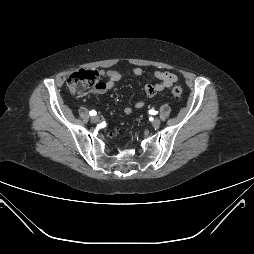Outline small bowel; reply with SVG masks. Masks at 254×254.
<instances>
[{
    "label": "small bowel",
    "mask_w": 254,
    "mask_h": 254,
    "mask_svg": "<svg viewBox=\"0 0 254 254\" xmlns=\"http://www.w3.org/2000/svg\"><path fill=\"white\" fill-rule=\"evenodd\" d=\"M134 76H141L143 74V69L140 67H135L129 71ZM99 75L104 79L100 81V85L93 89V92L96 94H103L108 90L112 89L117 82H119L123 76L124 72L120 70H101ZM154 77L159 80L157 84H146L144 86V92L148 97H154L156 94L164 91L165 89L171 87L177 82V76L171 72L167 71H155ZM144 102L139 100L135 102L136 108H142ZM131 107H126L124 113L126 115L131 114Z\"/></svg>",
    "instance_id": "obj_1"
}]
</instances>
